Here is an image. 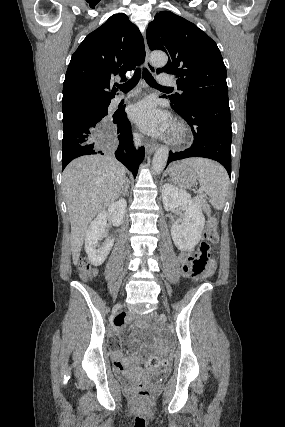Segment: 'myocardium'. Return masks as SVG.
<instances>
[{
  "mask_svg": "<svg viewBox=\"0 0 285 427\" xmlns=\"http://www.w3.org/2000/svg\"><path fill=\"white\" fill-rule=\"evenodd\" d=\"M188 135V128L183 121H176L173 125L172 135L169 139L171 144H181L185 141Z\"/></svg>",
  "mask_w": 285,
  "mask_h": 427,
  "instance_id": "myocardium-1",
  "label": "myocardium"
}]
</instances>
